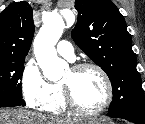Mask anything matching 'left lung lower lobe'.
Here are the masks:
<instances>
[{
    "label": "left lung lower lobe",
    "instance_id": "1",
    "mask_svg": "<svg viewBox=\"0 0 145 124\" xmlns=\"http://www.w3.org/2000/svg\"><path fill=\"white\" fill-rule=\"evenodd\" d=\"M108 116L115 118H122L133 122L135 124H145V115H141L139 113L134 112H117V113H109Z\"/></svg>",
    "mask_w": 145,
    "mask_h": 124
}]
</instances>
